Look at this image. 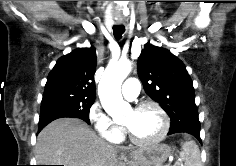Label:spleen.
<instances>
[{
	"label": "spleen",
	"instance_id": "3e777b00",
	"mask_svg": "<svg viewBox=\"0 0 236 166\" xmlns=\"http://www.w3.org/2000/svg\"><path fill=\"white\" fill-rule=\"evenodd\" d=\"M181 145L180 158L184 162V166H203L200 150L195 141L189 140L181 143Z\"/></svg>",
	"mask_w": 236,
	"mask_h": 166
}]
</instances>
